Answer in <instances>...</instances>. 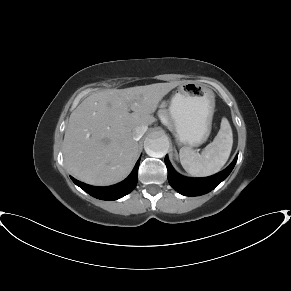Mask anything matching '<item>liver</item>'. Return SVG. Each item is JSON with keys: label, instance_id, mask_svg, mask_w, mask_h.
<instances>
[{"label": "liver", "instance_id": "obj_1", "mask_svg": "<svg viewBox=\"0 0 291 291\" xmlns=\"http://www.w3.org/2000/svg\"><path fill=\"white\" fill-rule=\"evenodd\" d=\"M179 84L110 89L85 98L71 113L63 140L64 161L70 173L95 186L125 179L139 152L133 130L151 125L160 100Z\"/></svg>", "mask_w": 291, "mask_h": 291}]
</instances>
